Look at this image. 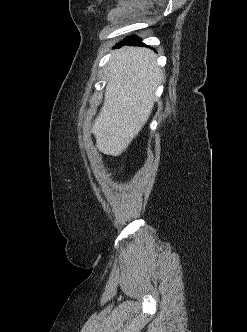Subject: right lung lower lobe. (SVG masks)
Listing matches in <instances>:
<instances>
[{
    "label": "right lung lower lobe",
    "mask_w": 247,
    "mask_h": 332,
    "mask_svg": "<svg viewBox=\"0 0 247 332\" xmlns=\"http://www.w3.org/2000/svg\"><path fill=\"white\" fill-rule=\"evenodd\" d=\"M124 43H127V44H129V45L142 44L140 38H138V37H134V36H131V37L126 38V40H125ZM120 44H121V43H119V45H120Z\"/></svg>",
    "instance_id": "1"
}]
</instances>
